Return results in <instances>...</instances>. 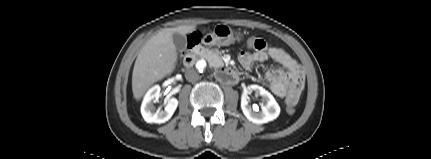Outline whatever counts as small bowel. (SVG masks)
I'll return each mask as SVG.
<instances>
[{
	"label": "small bowel",
	"instance_id": "c3829d8e",
	"mask_svg": "<svg viewBox=\"0 0 431 159\" xmlns=\"http://www.w3.org/2000/svg\"><path fill=\"white\" fill-rule=\"evenodd\" d=\"M251 38H254L253 51L241 52L238 57L240 64L249 70L255 63L272 58L280 67L271 68L266 73L270 90L279 97H286L290 108L300 105L303 102L301 92L304 80L298 62L284 49L270 46L259 37Z\"/></svg>",
	"mask_w": 431,
	"mask_h": 159
}]
</instances>
